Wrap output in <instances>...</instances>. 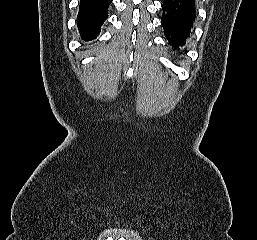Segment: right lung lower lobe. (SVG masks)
<instances>
[{"mask_svg":"<svg viewBox=\"0 0 257 240\" xmlns=\"http://www.w3.org/2000/svg\"><path fill=\"white\" fill-rule=\"evenodd\" d=\"M112 0H80L77 26L85 41L96 38L108 17Z\"/></svg>","mask_w":257,"mask_h":240,"instance_id":"1","label":"right lung lower lobe"}]
</instances>
